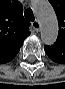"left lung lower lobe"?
<instances>
[{"mask_svg":"<svg viewBox=\"0 0 65 89\" xmlns=\"http://www.w3.org/2000/svg\"><path fill=\"white\" fill-rule=\"evenodd\" d=\"M47 56L54 62L65 64V42L56 40L54 45L44 46Z\"/></svg>","mask_w":65,"mask_h":89,"instance_id":"1","label":"left lung lower lobe"}]
</instances>
